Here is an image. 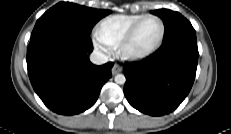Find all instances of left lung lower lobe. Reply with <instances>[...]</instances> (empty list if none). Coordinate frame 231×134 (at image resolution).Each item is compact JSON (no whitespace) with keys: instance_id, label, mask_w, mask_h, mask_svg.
Instances as JSON below:
<instances>
[{"instance_id":"0a47b994","label":"left lung lower lobe","mask_w":231,"mask_h":134,"mask_svg":"<svg viewBox=\"0 0 231 134\" xmlns=\"http://www.w3.org/2000/svg\"><path fill=\"white\" fill-rule=\"evenodd\" d=\"M197 62L196 35L185 34L163 42L147 60L125 64L124 94L128 102L152 116L174 111L192 88Z\"/></svg>"}]
</instances>
